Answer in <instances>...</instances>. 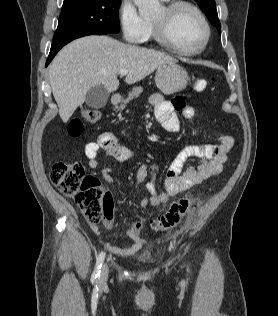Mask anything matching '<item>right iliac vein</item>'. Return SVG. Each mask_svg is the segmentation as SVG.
I'll list each match as a JSON object with an SVG mask.
<instances>
[{
  "instance_id": "obj_1",
  "label": "right iliac vein",
  "mask_w": 278,
  "mask_h": 316,
  "mask_svg": "<svg viewBox=\"0 0 278 316\" xmlns=\"http://www.w3.org/2000/svg\"><path fill=\"white\" fill-rule=\"evenodd\" d=\"M107 279H108V266L104 264L101 269V274L99 277L100 285H104L107 282Z\"/></svg>"
}]
</instances>
